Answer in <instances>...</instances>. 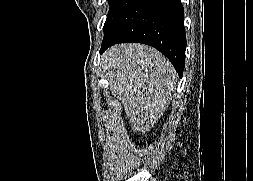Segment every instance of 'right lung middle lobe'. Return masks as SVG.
<instances>
[{"label": "right lung middle lobe", "mask_w": 253, "mask_h": 181, "mask_svg": "<svg viewBox=\"0 0 253 181\" xmlns=\"http://www.w3.org/2000/svg\"><path fill=\"white\" fill-rule=\"evenodd\" d=\"M135 0H108L110 9L105 21L104 32L122 15Z\"/></svg>", "instance_id": "1"}]
</instances>
